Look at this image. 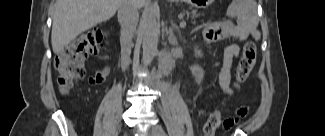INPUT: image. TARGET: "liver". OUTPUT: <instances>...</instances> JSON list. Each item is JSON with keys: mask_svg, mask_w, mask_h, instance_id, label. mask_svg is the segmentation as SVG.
Instances as JSON below:
<instances>
[{"mask_svg": "<svg viewBox=\"0 0 325 136\" xmlns=\"http://www.w3.org/2000/svg\"><path fill=\"white\" fill-rule=\"evenodd\" d=\"M122 0H57L51 32L55 54L79 34L112 18Z\"/></svg>", "mask_w": 325, "mask_h": 136, "instance_id": "1", "label": "liver"}]
</instances>
